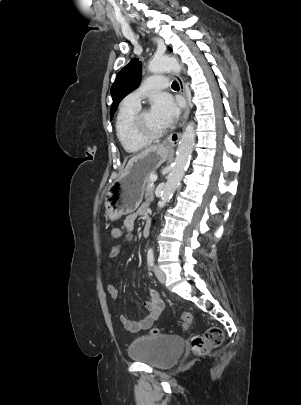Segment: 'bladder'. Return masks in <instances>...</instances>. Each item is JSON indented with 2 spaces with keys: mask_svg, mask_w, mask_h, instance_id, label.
I'll return each instance as SVG.
<instances>
[{
  "mask_svg": "<svg viewBox=\"0 0 301 405\" xmlns=\"http://www.w3.org/2000/svg\"><path fill=\"white\" fill-rule=\"evenodd\" d=\"M184 350V342L177 336L141 335L128 348L131 359L158 369L173 366Z\"/></svg>",
  "mask_w": 301,
  "mask_h": 405,
  "instance_id": "obj_1",
  "label": "bladder"
}]
</instances>
